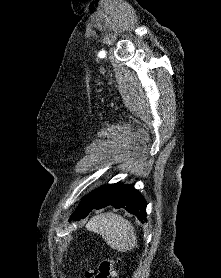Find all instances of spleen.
Segmentation results:
<instances>
[{
  "label": "spleen",
  "instance_id": "3e777b00",
  "mask_svg": "<svg viewBox=\"0 0 221 278\" xmlns=\"http://www.w3.org/2000/svg\"><path fill=\"white\" fill-rule=\"evenodd\" d=\"M86 228L99 234L112 249L117 251L126 252L137 245L134 227L121 215L111 212L96 215L90 219Z\"/></svg>",
  "mask_w": 221,
  "mask_h": 278
}]
</instances>
